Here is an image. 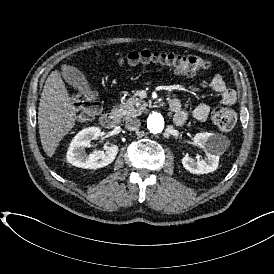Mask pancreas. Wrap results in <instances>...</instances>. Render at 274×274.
I'll list each match as a JSON object with an SVG mask.
<instances>
[{
    "instance_id": "obj_1",
    "label": "pancreas",
    "mask_w": 274,
    "mask_h": 274,
    "mask_svg": "<svg viewBox=\"0 0 274 274\" xmlns=\"http://www.w3.org/2000/svg\"><path fill=\"white\" fill-rule=\"evenodd\" d=\"M145 107L146 106L142 105L137 98L132 97L126 102L121 103L118 107L113 108L111 112L115 117L127 120L141 115Z\"/></svg>"
}]
</instances>
